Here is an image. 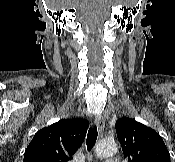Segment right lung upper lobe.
<instances>
[{
  "mask_svg": "<svg viewBox=\"0 0 175 162\" xmlns=\"http://www.w3.org/2000/svg\"><path fill=\"white\" fill-rule=\"evenodd\" d=\"M85 119H63L40 129L28 145L23 162H67L86 136Z\"/></svg>",
  "mask_w": 175,
  "mask_h": 162,
  "instance_id": "right-lung-upper-lobe-1",
  "label": "right lung upper lobe"
}]
</instances>
